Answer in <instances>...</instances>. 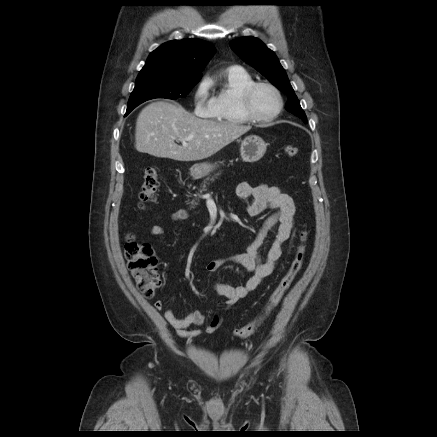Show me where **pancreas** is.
Here are the masks:
<instances>
[{
	"label": "pancreas",
	"instance_id": "obj_1",
	"mask_svg": "<svg viewBox=\"0 0 437 437\" xmlns=\"http://www.w3.org/2000/svg\"><path fill=\"white\" fill-rule=\"evenodd\" d=\"M217 175H219V174H216L215 176H217ZM214 181V178L212 177V178H207L206 180H204V183L202 184V190L201 191H205L206 189V184H207V181ZM192 207L191 208H194V205H197V203L196 202H193L192 203Z\"/></svg>",
	"mask_w": 437,
	"mask_h": 437
}]
</instances>
